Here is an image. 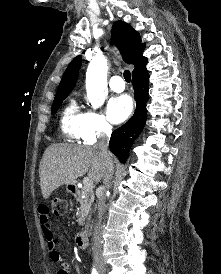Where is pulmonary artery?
Wrapping results in <instances>:
<instances>
[{"mask_svg":"<svg viewBox=\"0 0 221 274\" xmlns=\"http://www.w3.org/2000/svg\"><path fill=\"white\" fill-rule=\"evenodd\" d=\"M110 88L115 92H122L125 89V82L119 75H114L109 81Z\"/></svg>","mask_w":221,"mask_h":274,"instance_id":"obj_1","label":"pulmonary artery"}]
</instances>
